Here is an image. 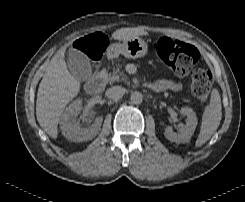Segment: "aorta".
Segmentation results:
<instances>
[{
  "instance_id": "aorta-1",
  "label": "aorta",
  "mask_w": 245,
  "mask_h": 202,
  "mask_svg": "<svg viewBox=\"0 0 245 202\" xmlns=\"http://www.w3.org/2000/svg\"><path fill=\"white\" fill-rule=\"evenodd\" d=\"M130 100L132 104H141L143 100V95L140 92H133L130 96Z\"/></svg>"
}]
</instances>
